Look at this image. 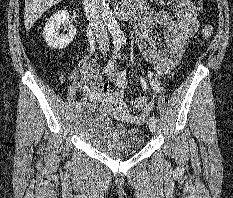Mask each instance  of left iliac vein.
Masks as SVG:
<instances>
[{
	"mask_svg": "<svg viewBox=\"0 0 233 198\" xmlns=\"http://www.w3.org/2000/svg\"><path fill=\"white\" fill-rule=\"evenodd\" d=\"M148 127L150 129L151 132H155L156 131V122H154L153 120L149 119L148 120Z\"/></svg>",
	"mask_w": 233,
	"mask_h": 198,
	"instance_id": "left-iliac-vein-1",
	"label": "left iliac vein"
}]
</instances>
